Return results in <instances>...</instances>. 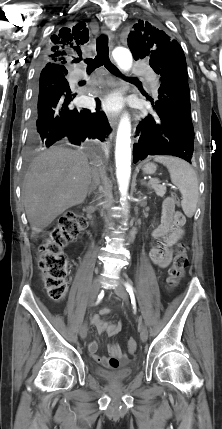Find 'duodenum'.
Masks as SVG:
<instances>
[{"label": "duodenum", "instance_id": "1", "mask_svg": "<svg viewBox=\"0 0 222 429\" xmlns=\"http://www.w3.org/2000/svg\"><path fill=\"white\" fill-rule=\"evenodd\" d=\"M89 221H90V223L93 225L94 224V218H93V216L92 215H90L89 216Z\"/></svg>", "mask_w": 222, "mask_h": 429}]
</instances>
